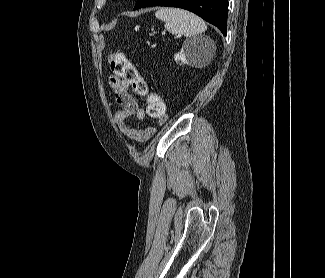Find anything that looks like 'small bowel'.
Masks as SVG:
<instances>
[{
    "instance_id": "c3829d8e",
    "label": "small bowel",
    "mask_w": 325,
    "mask_h": 278,
    "mask_svg": "<svg viewBox=\"0 0 325 278\" xmlns=\"http://www.w3.org/2000/svg\"><path fill=\"white\" fill-rule=\"evenodd\" d=\"M110 89L114 94L116 102L121 108L115 114V121L122 129L125 136L138 143H145L154 133V127L137 128L132 126L130 120L135 117L138 120L145 118V111L141 108L137 100L130 94V84L122 79L112 76L108 80ZM165 120L159 119L162 123Z\"/></svg>"
}]
</instances>
